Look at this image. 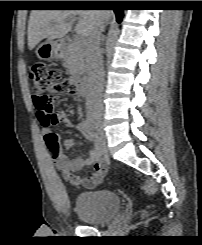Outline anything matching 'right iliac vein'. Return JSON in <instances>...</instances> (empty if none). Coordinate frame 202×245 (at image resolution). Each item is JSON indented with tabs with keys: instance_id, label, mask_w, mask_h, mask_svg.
<instances>
[{
	"instance_id": "right-iliac-vein-1",
	"label": "right iliac vein",
	"mask_w": 202,
	"mask_h": 245,
	"mask_svg": "<svg viewBox=\"0 0 202 245\" xmlns=\"http://www.w3.org/2000/svg\"><path fill=\"white\" fill-rule=\"evenodd\" d=\"M89 120L91 122V124L93 125L94 129L98 132H102V129H103V124H102V121L100 120H95L94 118L92 117H89Z\"/></svg>"
}]
</instances>
